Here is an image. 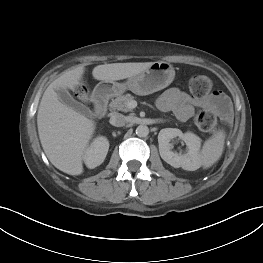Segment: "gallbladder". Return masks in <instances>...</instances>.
<instances>
[{
    "mask_svg": "<svg viewBox=\"0 0 263 263\" xmlns=\"http://www.w3.org/2000/svg\"><path fill=\"white\" fill-rule=\"evenodd\" d=\"M56 93L59 100L66 106L73 108L75 111L84 115H88L90 113V109L84 104L76 101L66 89L60 88L56 90Z\"/></svg>",
    "mask_w": 263,
    "mask_h": 263,
    "instance_id": "gallbladder-1",
    "label": "gallbladder"
}]
</instances>
